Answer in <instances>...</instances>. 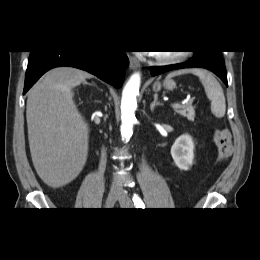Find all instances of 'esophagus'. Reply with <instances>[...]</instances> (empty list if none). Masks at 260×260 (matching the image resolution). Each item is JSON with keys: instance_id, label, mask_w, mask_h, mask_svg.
I'll return each mask as SVG.
<instances>
[{"instance_id": "1", "label": "esophagus", "mask_w": 260, "mask_h": 260, "mask_svg": "<svg viewBox=\"0 0 260 260\" xmlns=\"http://www.w3.org/2000/svg\"><path fill=\"white\" fill-rule=\"evenodd\" d=\"M129 60H130L129 65L132 70H137L140 68V62L135 57L131 56Z\"/></svg>"}]
</instances>
